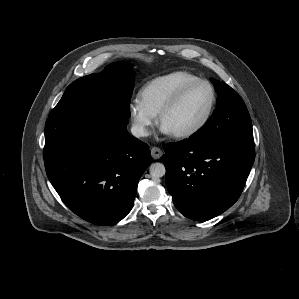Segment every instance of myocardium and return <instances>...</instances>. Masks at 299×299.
I'll return each instance as SVG.
<instances>
[{
    "label": "myocardium",
    "mask_w": 299,
    "mask_h": 299,
    "mask_svg": "<svg viewBox=\"0 0 299 299\" xmlns=\"http://www.w3.org/2000/svg\"><path fill=\"white\" fill-rule=\"evenodd\" d=\"M206 85L211 93V99H210V103L208 106V109L204 115V117L202 118V120L195 125L194 127L183 131V132H179V133H174L172 134L173 137L177 138V139H186V138H190L196 134H198L201 130L204 129V127L208 124L212 113L214 111L215 105H216V100H217V95H216V91L215 88L213 87V85L205 79H196L194 81H191L187 84H185L184 86H182L174 95L173 97L163 106V108L160 110L159 114H158V122L161 125L162 121L164 119V117L172 110L174 109L177 104L180 102V100L183 98V96L193 87L197 86V85Z\"/></svg>",
    "instance_id": "obj_1"
}]
</instances>
